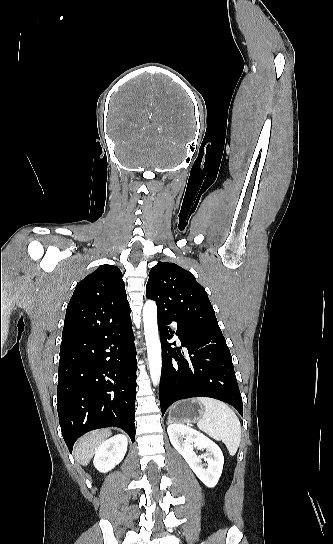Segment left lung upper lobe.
Segmentation results:
<instances>
[{"instance_id":"1","label":"left lung upper lobe","mask_w":333,"mask_h":544,"mask_svg":"<svg viewBox=\"0 0 333 544\" xmlns=\"http://www.w3.org/2000/svg\"><path fill=\"white\" fill-rule=\"evenodd\" d=\"M146 297L158 311L170 313L182 323L222 333L205 289L182 267L159 261L149 272Z\"/></svg>"}]
</instances>
